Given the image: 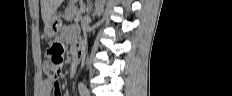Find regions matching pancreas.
Returning <instances> with one entry per match:
<instances>
[{
  "label": "pancreas",
  "instance_id": "1",
  "mask_svg": "<svg viewBox=\"0 0 232 96\" xmlns=\"http://www.w3.org/2000/svg\"><path fill=\"white\" fill-rule=\"evenodd\" d=\"M81 13V10H79L76 6L71 4L66 9L63 17L67 21H72L73 19H76L78 16H81Z\"/></svg>",
  "mask_w": 232,
  "mask_h": 96
}]
</instances>
